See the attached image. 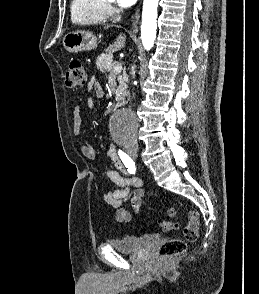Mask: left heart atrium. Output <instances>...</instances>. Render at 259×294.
I'll list each match as a JSON object with an SVG mask.
<instances>
[{
  "label": "left heart atrium",
  "mask_w": 259,
  "mask_h": 294,
  "mask_svg": "<svg viewBox=\"0 0 259 294\" xmlns=\"http://www.w3.org/2000/svg\"><path fill=\"white\" fill-rule=\"evenodd\" d=\"M137 0H117V3L122 7H130L136 3Z\"/></svg>",
  "instance_id": "1"
}]
</instances>
